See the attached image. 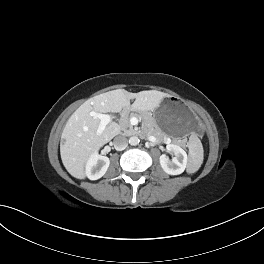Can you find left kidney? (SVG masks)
I'll list each match as a JSON object with an SVG mask.
<instances>
[{
    "label": "left kidney",
    "mask_w": 264,
    "mask_h": 264,
    "mask_svg": "<svg viewBox=\"0 0 264 264\" xmlns=\"http://www.w3.org/2000/svg\"><path fill=\"white\" fill-rule=\"evenodd\" d=\"M166 148L174 154V157L170 160L165 154H162L159 158L162 169L169 175L183 173L188 163L187 153L176 144H167Z\"/></svg>",
    "instance_id": "1"
}]
</instances>
